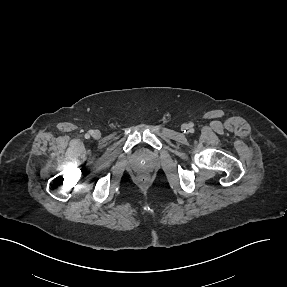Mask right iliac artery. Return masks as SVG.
<instances>
[{"label":"right iliac artery","instance_id":"82829eb1","mask_svg":"<svg viewBox=\"0 0 287 287\" xmlns=\"http://www.w3.org/2000/svg\"><path fill=\"white\" fill-rule=\"evenodd\" d=\"M89 133H90V134H92V133H93V131H92V130H90V131H89ZM86 137H89V135L87 134V135H86Z\"/></svg>","mask_w":287,"mask_h":287}]
</instances>
